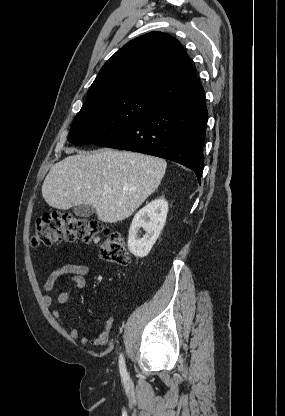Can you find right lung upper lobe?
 <instances>
[{"instance_id":"1","label":"right lung upper lobe","mask_w":285,"mask_h":416,"mask_svg":"<svg viewBox=\"0 0 285 416\" xmlns=\"http://www.w3.org/2000/svg\"><path fill=\"white\" fill-rule=\"evenodd\" d=\"M201 91L179 41L151 32L128 42L105 63L82 108L130 96L164 106Z\"/></svg>"}]
</instances>
